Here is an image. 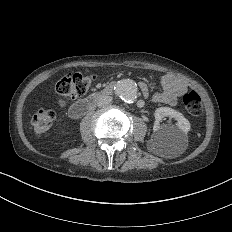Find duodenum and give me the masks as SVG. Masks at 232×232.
<instances>
[{
  "label": "duodenum",
  "mask_w": 232,
  "mask_h": 232,
  "mask_svg": "<svg viewBox=\"0 0 232 232\" xmlns=\"http://www.w3.org/2000/svg\"><path fill=\"white\" fill-rule=\"evenodd\" d=\"M114 83L106 85L101 90L92 93L87 98L82 99L73 104L69 109L70 117L78 119L88 113L95 103L104 96L110 95L113 92Z\"/></svg>",
  "instance_id": "1"
}]
</instances>
